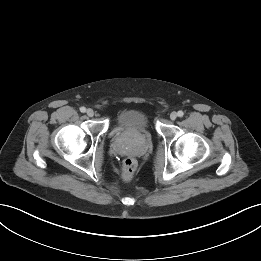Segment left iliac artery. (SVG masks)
<instances>
[{"instance_id": "obj_1", "label": "left iliac artery", "mask_w": 261, "mask_h": 261, "mask_svg": "<svg viewBox=\"0 0 261 261\" xmlns=\"http://www.w3.org/2000/svg\"><path fill=\"white\" fill-rule=\"evenodd\" d=\"M177 115H178L179 117H183L184 112L180 110V111H178Z\"/></svg>"}]
</instances>
